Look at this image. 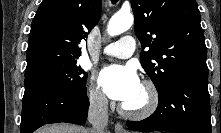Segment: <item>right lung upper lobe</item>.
I'll list each match as a JSON object with an SVG mask.
<instances>
[{"instance_id": "cb5924a9", "label": "right lung upper lobe", "mask_w": 221, "mask_h": 133, "mask_svg": "<svg viewBox=\"0 0 221 133\" xmlns=\"http://www.w3.org/2000/svg\"><path fill=\"white\" fill-rule=\"evenodd\" d=\"M100 15L101 0H43L31 25L25 76L48 66L77 62L78 45Z\"/></svg>"}]
</instances>
